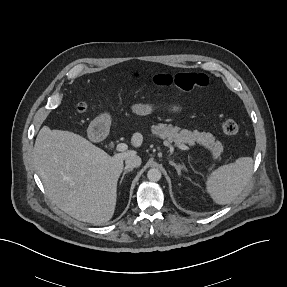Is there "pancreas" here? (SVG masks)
<instances>
[{
    "instance_id": "1",
    "label": "pancreas",
    "mask_w": 287,
    "mask_h": 287,
    "mask_svg": "<svg viewBox=\"0 0 287 287\" xmlns=\"http://www.w3.org/2000/svg\"><path fill=\"white\" fill-rule=\"evenodd\" d=\"M153 134L158 135L162 139H167V143L174 142L175 144L187 143L194 145L198 143L205 149L210 151L213 158H217L223 151L220 141H216L211 133L189 131L186 129L180 130L179 127L167 126L166 124H159L152 127Z\"/></svg>"
}]
</instances>
